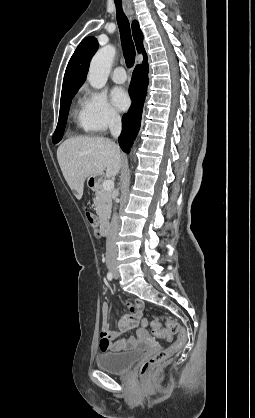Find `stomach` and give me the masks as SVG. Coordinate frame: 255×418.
Returning <instances> with one entry per match:
<instances>
[{"instance_id":"0dacf381","label":"stomach","mask_w":255,"mask_h":418,"mask_svg":"<svg viewBox=\"0 0 255 418\" xmlns=\"http://www.w3.org/2000/svg\"><path fill=\"white\" fill-rule=\"evenodd\" d=\"M87 185L91 189H95L97 187V185H98L97 177H88V179H87Z\"/></svg>"}]
</instances>
